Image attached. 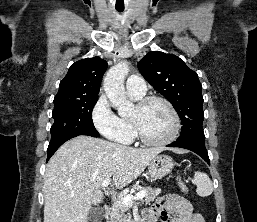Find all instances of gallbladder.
<instances>
[{"instance_id": "obj_1", "label": "gallbladder", "mask_w": 257, "mask_h": 222, "mask_svg": "<svg viewBox=\"0 0 257 222\" xmlns=\"http://www.w3.org/2000/svg\"><path fill=\"white\" fill-rule=\"evenodd\" d=\"M103 217V209L98 206H92L88 214V222H101Z\"/></svg>"}]
</instances>
